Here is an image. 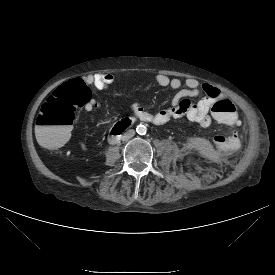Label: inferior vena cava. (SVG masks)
<instances>
[{
  "label": "inferior vena cava",
  "instance_id": "602c4592",
  "mask_svg": "<svg viewBox=\"0 0 275 275\" xmlns=\"http://www.w3.org/2000/svg\"><path fill=\"white\" fill-rule=\"evenodd\" d=\"M134 134H135V131L133 129H130L124 133V135L122 136V140H128V139L132 138L134 136Z\"/></svg>",
  "mask_w": 275,
  "mask_h": 275
}]
</instances>
